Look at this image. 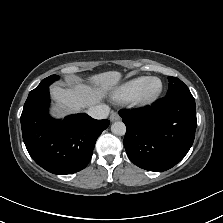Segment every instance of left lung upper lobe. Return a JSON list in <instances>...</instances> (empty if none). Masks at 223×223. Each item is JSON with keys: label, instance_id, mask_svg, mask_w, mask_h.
<instances>
[{"label": "left lung upper lobe", "instance_id": "left-lung-upper-lobe-1", "mask_svg": "<svg viewBox=\"0 0 223 223\" xmlns=\"http://www.w3.org/2000/svg\"><path fill=\"white\" fill-rule=\"evenodd\" d=\"M169 89L166 96L193 97L188 87L177 77H168Z\"/></svg>", "mask_w": 223, "mask_h": 223}]
</instances>
